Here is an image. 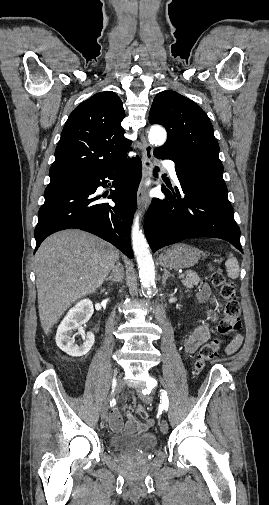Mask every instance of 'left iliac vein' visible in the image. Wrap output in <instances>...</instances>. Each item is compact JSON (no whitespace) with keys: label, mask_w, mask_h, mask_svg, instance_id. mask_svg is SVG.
I'll return each instance as SVG.
<instances>
[{"label":"left iliac vein","mask_w":269,"mask_h":505,"mask_svg":"<svg viewBox=\"0 0 269 505\" xmlns=\"http://www.w3.org/2000/svg\"><path fill=\"white\" fill-rule=\"evenodd\" d=\"M138 393L140 395V397L146 401V402H149L151 400V397L149 395H143L142 392H141V388L138 387ZM160 430L163 434H166L167 431H168V422L166 419H162L161 422H160Z\"/></svg>","instance_id":"4c4485c4"}]
</instances>
